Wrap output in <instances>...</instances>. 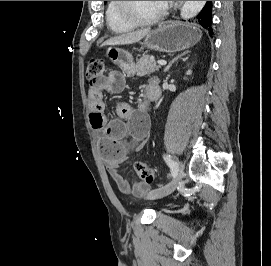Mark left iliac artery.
Wrapping results in <instances>:
<instances>
[{"label": "left iliac artery", "instance_id": "44dca946", "mask_svg": "<svg viewBox=\"0 0 271 266\" xmlns=\"http://www.w3.org/2000/svg\"><path fill=\"white\" fill-rule=\"evenodd\" d=\"M164 160L166 161V163L168 164V166L170 167L171 169V174L173 177L176 176L177 174V168H176V162L173 161L169 155H164Z\"/></svg>", "mask_w": 271, "mask_h": 266}]
</instances>
